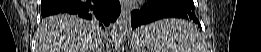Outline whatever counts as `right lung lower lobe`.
Returning a JSON list of instances; mask_svg holds the SVG:
<instances>
[{
  "label": "right lung lower lobe",
  "instance_id": "1",
  "mask_svg": "<svg viewBox=\"0 0 261 52\" xmlns=\"http://www.w3.org/2000/svg\"><path fill=\"white\" fill-rule=\"evenodd\" d=\"M41 8L42 17L74 14L97 21L104 29L120 14L118 0H42Z\"/></svg>",
  "mask_w": 261,
  "mask_h": 52
}]
</instances>
